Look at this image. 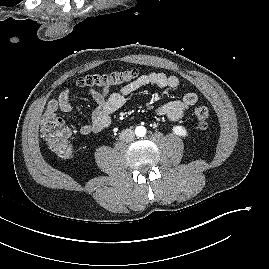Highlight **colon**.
I'll list each match as a JSON object with an SVG mask.
<instances>
[{
  "label": "colon",
  "mask_w": 269,
  "mask_h": 269,
  "mask_svg": "<svg viewBox=\"0 0 269 269\" xmlns=\"http://www.w3.org/2000/svg\"><path fill=\"white\" fill-rule=\"evenodd\" d=\"M138 77L136 70L115 71L103 75H89L80 78L77 86L95 90L110 89L114 86L130 83ZM197 127L205 130L208 127L209 108L200 105L195 110ZM41 134L51 149L62 157L71 155V146L67 140L66 128L60 118L46 115L41 123Z\"/></svg>",
  "instance_id": "obj_1"
}]
</instances>
